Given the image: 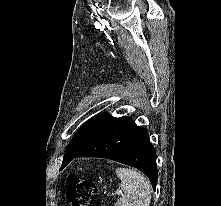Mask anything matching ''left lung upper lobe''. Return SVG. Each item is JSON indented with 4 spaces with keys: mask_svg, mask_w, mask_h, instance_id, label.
Returning a JSON list of instances; mask_svg holds the SVG:
<instances>
[{
    "mask_svg": "<svg viewBox=\"0 0 221 206\" xmlns=\"http://www.w3.org/2000/svg\"><path fill=\"white\" fill-rule=\"evenodd\" d=\"M116 118L108 113H101L89 119L73 136L64 155L63 163L74 157L101 134ZM62 163V164H63Z\"/></svg>",
    "mask_w": 221,
    "mask_h": 206,
    "instance_id": "left-lung-upper-lobe-1",
    "label": "left lung upper lobe"
}]
</instances>
